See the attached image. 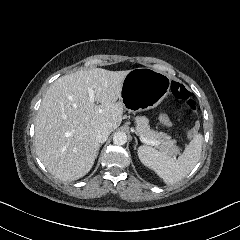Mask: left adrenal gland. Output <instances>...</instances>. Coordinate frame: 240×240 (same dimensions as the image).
Returning <instances> with one entry per match:
<instances>
[{
  "label": "left adrenal gland",
  "mask_w": 240,
  "mask_h": 240,
  "mask_svg": "<svg viewBox=\"0 0 240 240\" xmlns=\"http://www.w3.org/2000/svg\"><path fill=\"white\" fill-rule=\"evenodd\" d=\"M134 139H135V143H136L134 149H136V147H137V145H138V140H137L136 137H134Z\"/></svg>",
  "instance_id": "1"
}]
</instances>
